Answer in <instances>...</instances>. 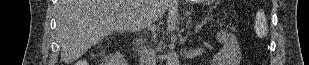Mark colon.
<instances>
[{"label": "colon", "instance_id": "colon-1", "mask_svg": "<svg viewBox=\"0 0 309 65\" xmlns=\"http://www.w3.org/2000/svg\"><path fill=\"white\" fill-rule=\"evenodd\" d=\"M255 34L258 38H265L268 31V19L263 11H259L256 14L254 23ZM82 64V63H79Z\"/></svg>", "mask_w": 309, "mask_h": 65}]
</instances>
